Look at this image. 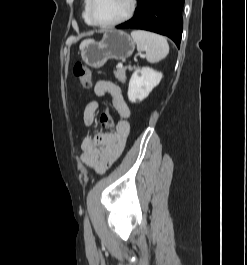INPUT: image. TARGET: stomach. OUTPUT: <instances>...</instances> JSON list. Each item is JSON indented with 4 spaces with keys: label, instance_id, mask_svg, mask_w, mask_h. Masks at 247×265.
Segmentation results:
<instances>
[{
    "label": "stomach",
    "instance_id": "obj_1",
    "mask_svg": "<svg viewBox=\"0 0 247 265\" xmlns=\"http://www.w3.org/2000/svg\"><path fill=\"white\" fill-rule=\"evenodd\" d=\"M134 49V40L120 30L107 31L99 42L90 39L80 45L82 60L92 68H101L109 59L124 60Z\"/></svg>",
    "mask_w": 247,
    "mask_h": 265
}]
</instances>
